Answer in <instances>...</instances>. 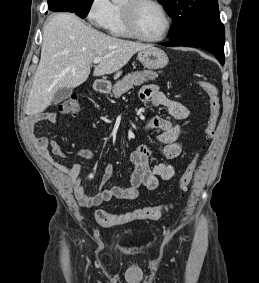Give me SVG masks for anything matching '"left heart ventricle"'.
Listing matches in <instances>:
<instances>
[{"instance_id":"left-heart-ventricle-1","label":"left heart ventricle","mask_w":259,"mask_h":283,"mask_svg":"<svg viewBox=\"0 0 259 283\" xmlns=\"http://www.w3.org/2000/svg\"><path fill=\"white\" fill-rule=\"evenodd\" d=\"M137 23L142 34L148 37H160L166 29L163 12L155 5L142 4L137 11Z\"/></svg>"}]
</instances>
